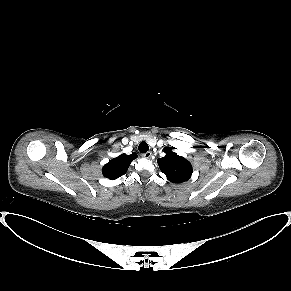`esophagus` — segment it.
Masks as SVG:
<instances>
[{
  "mask_svg": "<svg viewBox=\"0 0 291 291\" xmlns=\"http://www.w3.org/2000/svg\"><path fill=\"white\" fill-rule=\"evenodd\" d=\"M142 156H143L144 158H151V156H152V152H151V151H148V152L144 153Z\"/></svg>",
  "mask_w": 291,
  "mask_h": 291,
  "instance_id": "1",
  "label": "esophagus"
}]
</instances>
